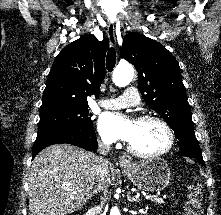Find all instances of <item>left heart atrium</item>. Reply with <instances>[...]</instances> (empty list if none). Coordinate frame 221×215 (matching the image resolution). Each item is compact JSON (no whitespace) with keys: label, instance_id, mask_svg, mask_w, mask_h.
Masks as SVG:
<instances>
[{"label":"left heart atrium","instance_id":"obj_1","mask_svg":"<svg viewBox=\"0 0 221 215\" xmlns=\"http://www.w3.org/2000/svg\"><path fill=\"white\" fill-rule=\"evenodd\" d=\"M136 122L120 115L105 113L98 123L99 131L108 141L121 139L130 141L135 131Z\"/></svg>","mask_w":221,"mask_h":215}]
</instances>
